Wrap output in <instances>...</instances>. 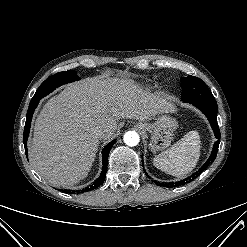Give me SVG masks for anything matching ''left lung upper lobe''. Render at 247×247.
I'll return each mask as SVG.
<instances>
[{
	"mask_svg": "<svg viewBox=\"0 0 247 247\" xmlns=\"http://www.w3.org/2000/svg\"><path fill=\"white\" fill-rule=\"evenodd\" d=\"M182 101L214 97L203 80L189 75L181 78Z\"/></svg>",
	"mask_w": 247,
	"mask_h": 247,
	"instance_id": "5c2ea615",
	"label": "left lung upper lobe"
}]
</instances>
